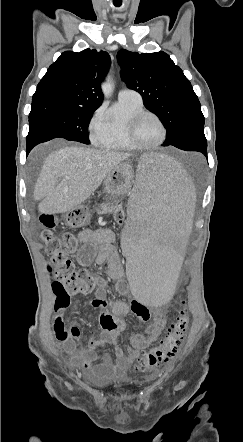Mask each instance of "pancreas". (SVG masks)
<instances>
[{
  "label": "pancreas",
  "mask_w": 243,
  "mask_h": 442,
  "mask_svg": "<svg viewBox=\"0 0 243 442\" xmlns=\"http://www.w3.org/2000/svg\"><path fill=\"white\" fill-rule=\"evenodd\" d=\"M114 210V204L113 203H103L100 206V209L97 210L98 214H105L113 212Z\"/></svg>",
  "instance_id": "cf45deb5"
}]
</instances>
